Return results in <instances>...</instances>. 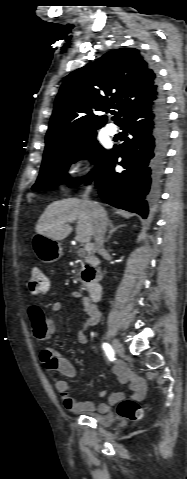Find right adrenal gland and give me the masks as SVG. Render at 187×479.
Returning <instances> with one entry per match:
<instances>
[{
    "label": "right adrenal gland",
    "mask_w": 187,
    "mask_h": 479,
    "mask_svg": "<svg viewBox=\"0 0 187 479\" xmlns=\"http://www.w3.org/2000/svg\"><path fill=\"white\" fill-rule=\"evenodd\" d=\"M123 226H125V225H119V226L115 227V226L113 225L112 221H109V228H110V230H109V234H108L107 238L105 239V242H108V240L111 238L112 234H113L114 232H116L119 228L123 227Z\"/></svg>",
    "instance_id": "right-adrenal-gland-1"
}]
</instances>
